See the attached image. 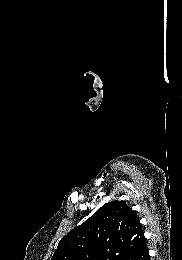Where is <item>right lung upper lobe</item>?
<instances>
[{
	"instance_id": "obj_1",
	"label": "right lung upper lobe",
	"mask_w": 182,
	"mask_h": 260,
	"mask_svg": "<svg viewBox=\"0 0 182 260\" xmlns=\"http://www.w3.org/2000/svg\"><path fill=\"white\" fill-rule=\"evenodd\" d=\"M144 242L136 212L115 200L64 236L51 260H124Z\"/></svg>"
}]
</instances>
